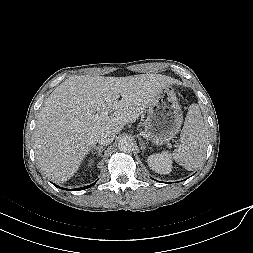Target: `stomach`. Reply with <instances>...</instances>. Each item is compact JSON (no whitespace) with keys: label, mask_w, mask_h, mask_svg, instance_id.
Returning a JSON list of instances; mask_svg holds the SVG:
<instances>
[{"label":"stomach","mask_w":253,"mask_h":253,"mask_svg":"<svg viewBox=\"0 0 253 253\" xmlns=\"http://www.w3.org/2000/svg\"><path fill=\"white\" fill-rule=\"evenodd\" d=\"M182 124L181 108L171 86H167L149 106L144 121V131L148 140L163 145L172 140Z\"/></svg>","instance_id":"1"}]
</instances>
